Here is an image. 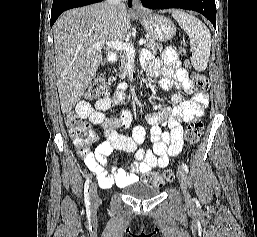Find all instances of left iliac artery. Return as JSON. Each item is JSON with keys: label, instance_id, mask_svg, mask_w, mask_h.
I'll return each mask as SVG.
<instances>
[{"label": "left iliac artery", "instance_id": "44dca946", "mask_svg": "<svg viewBox=\"0 0 257 237\" xmlns=\"http://www.w3.org/2000/svg\"><path fill=\"white\" fill-rule=\"evenodd\" d=\"M182 168L185 170V172H189L188 166L185 163H182Z\"/></svg>", "mask_w": 257, "mask_h": 237}]
</instances>
